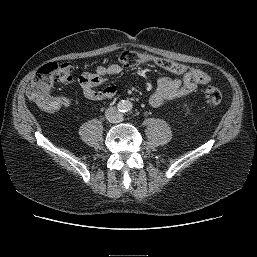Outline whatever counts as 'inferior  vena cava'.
<instances>
[{
  "label": "inferior vena cava",
  "instance_id": "inferior-vena-cava-1",
  "mask_svg": "<svg viewBox=\"0 0 257 257\" xmlns=\"http://www.w3.org/2000/svg\"><path fill=\"white\" fill-rule=\"evenodd\" d=\"M105 117L110 123H119L123 119L122 113L116 107L108 108Z\"/></svg>",
  "mask_w": 257,
  "mask_h": 257
}]
</instances>
